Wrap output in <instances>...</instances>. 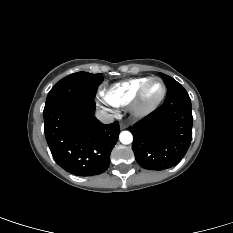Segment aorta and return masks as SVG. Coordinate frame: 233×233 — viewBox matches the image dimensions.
I'll return each instance as SVG.
<instances>
[{
  "label": "aorta",
  "mask_w": 233,
  "mask_h": 233,
  "mask_svg": "<svg viewBox=\"0 0 233 233\" xmlns=\"http://www.w3.org/2000/svg\"><path fill=\"white\" fill-rule=\"evenodd\" d=\"M119 140L122 144H130L133 141V136L129 131H122L119 135Z\"/></svg>",
  "instance_id": "obj_1"
}]
</instances>
